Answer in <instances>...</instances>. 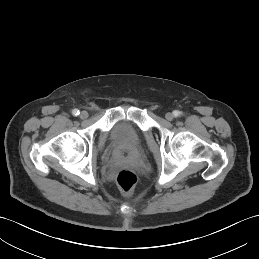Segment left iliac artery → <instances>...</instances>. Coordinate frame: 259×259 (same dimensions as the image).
Wrapping results in <instances>:
<instances>
[{"instance_id":"left-iliac-artery-1","label":"left iliac artery","mask_w":259,"mask_h":259,"mask_svg":"<svg viewBox=\"0 0 259 259\" xmlns=\"http://www.w3.org/2000/svg\"><path fill=\"white\" fill-rule=\"evenodd\" d=\"M180 114H181V113H180V111H178V110H175V111L173 112V115H174L175 117H178Z\"/></svg>"}]
</instances>
